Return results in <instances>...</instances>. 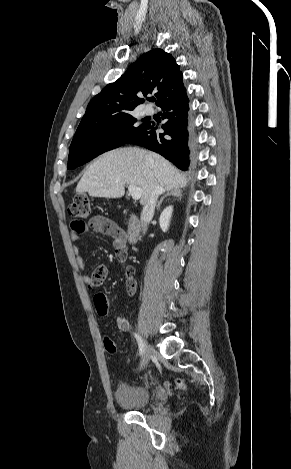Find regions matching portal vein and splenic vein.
I'll use <instances>...</instances> for the list:
<instances>
[{"mask_svg": "<svg viewBox=\"0 0 291 469\" xmlns=\"http://www.w3.org/2000/svg\"><path fill=\"white\" fill-rule=\"evenodd\" d=\"M128 190L134 200L140 199L141 193H142V190L140 187H137L135 185H129Z\"/></svg>", "mask_w": 291, "mask_h": 469, "instance_id": "18ae733b", "label": "portal vein and splenic vein"}]
</instances>
